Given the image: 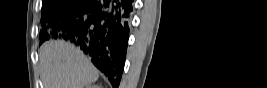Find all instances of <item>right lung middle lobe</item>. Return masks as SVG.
Wrapping results in <instances>:
<instances>
[{
  "label": "right lung middle lobe",
  "instance_id": "1",
  "mask_svg": "<svg viewBox=\"0 0 267 88\" xmlns=\"http://www.w3.org/2000/svg\"><path fill=\"white\" fill-rule=\"evenodd\" d=\"M78 0H43L42 14H41V25L43 30L40 32V39L43 42L47 37L44 26L48 22L56 19L60 14L70 9L77 3Z\"/></svg>",
  "mask_w": 267,
  "mask_h": 88
}]
</instances>
